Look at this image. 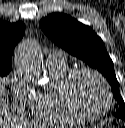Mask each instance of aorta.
Listing matches in <instances>:
<instances>
[{
    "instance_id": "1",
    "label": "aorta",
    "mask_w": 125,
    "mask_h": 128,
    "mask_svg": "<svg viewBox=\"0 0 125 128\" xmlns=\"http://www.w3.org/2000/svg\"><path fill=\"white\" fill-rule=\"evenodd\" d=\"M16 62L26 69L37 82H44L46 71L41 63L40 55L36 51V46L31 41L22 43L15 55Z\"/></svg>"
}]
</instances>
